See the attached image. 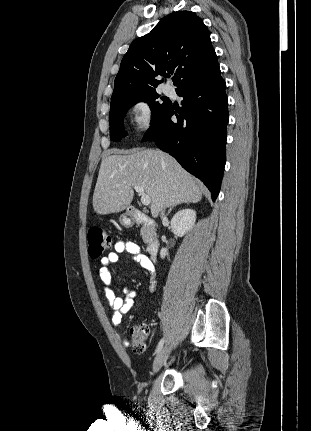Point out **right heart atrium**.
Wrapping results in <instances>:
<instances>
[{
  "mask_svg": "<svg viewBox=\"0 0 311 431\" xmlns=\"http://www.w3.org/2000/svg\"><path fill=\"white\" fill-rule=\"evenodd\" d=\"M128 113L139 134H144L153 127L155 112L152 102L147 97L135 98L128 107Z\"/></svg>",
  "mask_w": 311,
  "mask_h": 431,
  "instance_id": "d8ad5b80",
  "label": "right heart atrium"
}]
</instances>
